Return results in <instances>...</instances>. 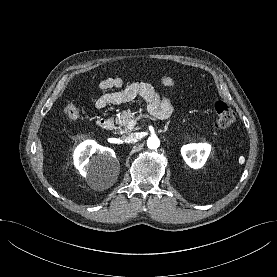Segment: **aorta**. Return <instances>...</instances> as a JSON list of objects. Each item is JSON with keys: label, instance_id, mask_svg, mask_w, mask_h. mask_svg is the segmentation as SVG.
<instances>
[{"label": "aorta", "instance_id": "1", "mask_svg": "<svg viewBox=\"0 0 277 277\" xmlns=\"http://www.w3.org/2000/svg\"><path fill=\"white\" fill-rule=\"evenodd\" d=\"M160 145V140L156 136H151L147 140V146L149 149H157Z\"/></svg>", "mask_w": 277, "mask_h": 277}]
</instances>
